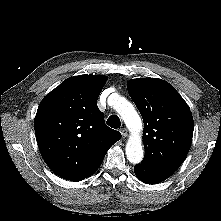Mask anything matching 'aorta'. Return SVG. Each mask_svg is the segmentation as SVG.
<instances>
[{"instance_id": "1", "label": "aorta", "mask_w": 221, "mask_h": 221, "mask_svg": "<svg viewBox=\"0 0 221 221\" xmlns=\"http://www.w3.org/2000/svg\"><path fill=\"white\" fill-rule=\"evenodd\" d=\"M116 111L124 120L131 136L126 144V156L129 162L138 164L144 156L142 139L140 132L142 130V121L133 105L127 101H119L115 105Z\"/></svg>"}]
</instances>
